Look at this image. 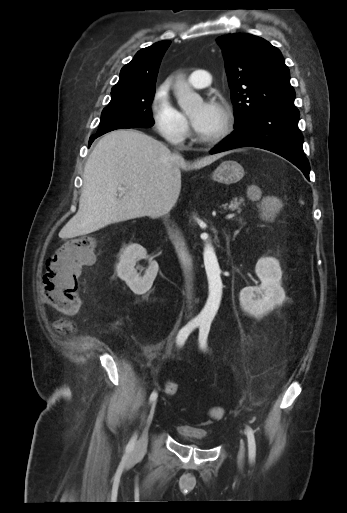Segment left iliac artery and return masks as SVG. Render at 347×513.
<instances>
[{
    "label": "left iliac artery",
    "instance_id": "1",
    "mask_svg": "<svg viewBox=\"0 0 347 513\" xmlns=\"http://www.w3.org/2000/svg\"><path fill=\"white\" fill-rule=\"evenodd\" d=\"M211 321L210 320H204L200 324L199 329V344L201 349L206 350L207 349V338L210 331ZM246 434H247V441H248V456L249 461L252 463L255 460L256 456V443H255V437L254 432L250 427L246 428Z\"/></svg>",
    "mask_w": 347,
    "mask_h": 513
}]
</instances>
